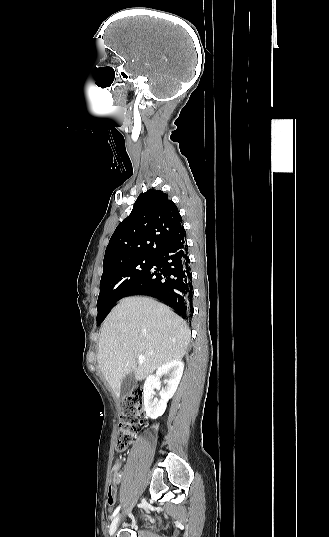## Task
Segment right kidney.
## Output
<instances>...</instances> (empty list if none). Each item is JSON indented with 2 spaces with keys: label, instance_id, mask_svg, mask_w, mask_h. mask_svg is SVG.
<instances>
[{
  "label": "right kidney",
  "instance_id": "1",
  "mask_svg": "<svg viewBox=\"0 0 329 537\" xmlns=\"http://www.w3.org/2000/svg\"><path fill=\"white\" fill-rule=\"evenodd\" d=\"M184 369V363L181 360H174L161 366L155 373L147 377L144 383V407L147 416L152 419L163 415L167 407V402L171 399L177 390ZM167 374L168 380L165 381L166 387L160 390V399L155 398L154 387L159 384L162 375Z\"/></svg>",
  "mask_w": 329,
  "mask_h": 537
}]
</instances>
